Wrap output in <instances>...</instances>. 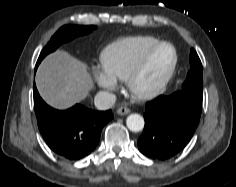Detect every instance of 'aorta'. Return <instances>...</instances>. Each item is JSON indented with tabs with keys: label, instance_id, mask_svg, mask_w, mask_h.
Wrapping results in <instances>:
<instances>
[{
	"label": "aorta",
	"instance_id": "obj_1",
	"mask_svg": "<svg viewBox=\"0 0 236 187\" xmlns=\"http://www.w3.org/2000/svg\"><path fill=\"white\" fill-rule=\"evenodd\" d=\"M126 125L132 132H139L144 128V119L139 114H131L126 119Z\"/></svg>",
	"mask_w": 236,
	"mask_h": 187
}]
</instances>
